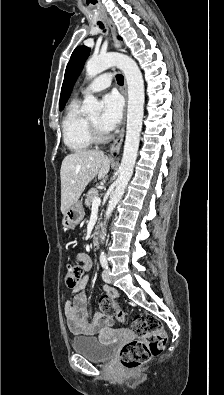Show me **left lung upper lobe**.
<instances>
[{
    "mask_svg": "<svg viewBox=\"0 0 224 395\" xmlns=\"http://www.w3.org/2000/svg\"><path fill=\"white\" fill-rule=\"evenodd\" d=\"M90 49L86 46H78L72 53L70 61L67 64L64 81L60 96V109H63L70 93L73 89V85L78 77L81 69L83 68L84 62L89 56Z\"/></svg>",
    "mask_w": 224,
    "mask_h": 395,
    "instance_id": "obj_1",
    "label": "left lung upper lobe"
}]
</instances>
